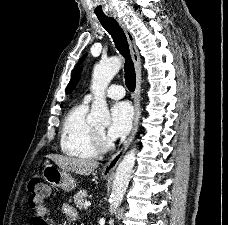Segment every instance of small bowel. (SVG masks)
Listing matches in <instances>:
<instances>
[{"instance_id": "c3829d8e", "label": "small bowel", "mask_w": 228, "mask_h": 225, "mask_svg": "<svg viewBox=\"0 0 228 225\" xmlns=\"http://www.w3.org/2000/svg\"><path fill=\"white\" fill-rule=\"evenodd\" d=\"M64 211L70 216L74 215L73 210L67 205L64 206ZM48 213H49L48 206L46 204H43L42 206L36 209L37 218H34L31 221L30 225H51V222H44V217H46Z\"/></svg>"}]
</instances>
